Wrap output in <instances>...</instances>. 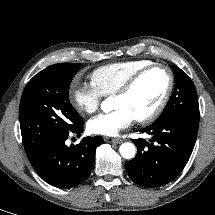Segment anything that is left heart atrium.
Instances as JSON below:
<instances>
[{
  "label": "left heart atrium",
  "instance_id": "1",
  "mask_svg": "<svg viewBox=\"0 0 215 215\" xmlns=\"http://www.w3.org/2000/svg\"><path fill=\"white\" fill-rule=\"evenodd\" d=\"M134 120L135 117L128 109L120 107L90 119L88 129L93 134L116 136L121 130L129 127Z\"/></svg>",
  "mask_w": 215,
  "mask_h": 215
}]
</instances>
